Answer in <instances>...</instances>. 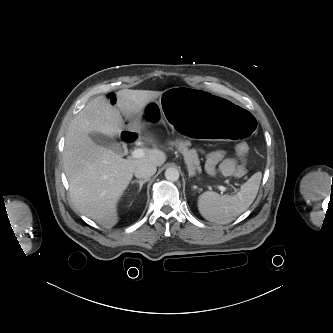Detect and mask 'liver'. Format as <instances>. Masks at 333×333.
<instances>
[{"label": "liver", "instance_id": "obj_1", "mask_svg": "<svg viewBox=\"0 0 333 333\" xmlns=\"http://www.w3.org/2000/svg\"><path fill=\"white\" fill-rule=\"evenodd\" d=\"M162 92L124 89L117 93V107L107 97L91 100L68 127L63 151V167L75 208L107 228L118 222L117 203L133 177L135 168L143 163L162 166L163 151L150 150L141 159H124L121 155L95 143L90 135L119 136L124 128L120 113L140 132L144 108ZM152 142V139L145 137Z\"/></svg>", "mask_w": 333, "mask_h": 333}]
</instances>
